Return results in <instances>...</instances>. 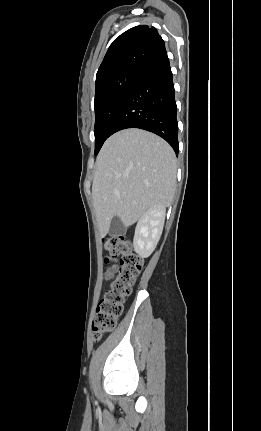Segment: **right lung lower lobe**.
<instances>
[{"instance_id": "98d812e1", "label": "right lung lower lobe", "mask_w": 261, "mask_h": 431, "mask_svg": "<svg viewBox=\"0 0 261 431\" xmlns=\"http://www.w3.org/2000/svg\"><path fill=\"white\" fill-rule=\"evenodd\" d=\"M169 59L165 52L144 66L129 89L110 134L140 128L165 139L178 155L177 107Z\"/></svg>"}]
</instances>
